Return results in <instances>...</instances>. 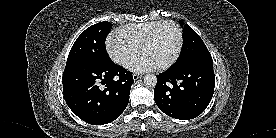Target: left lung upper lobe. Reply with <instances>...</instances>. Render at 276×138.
<instances>
[{"label":"left lung upper lobe","mask_w":276,"mask_h":138,"mask_svg":"<svg viewBox=\"0 0 276 138\" xmlns=\"http://www.w3.org/2000/svg\"><path fill=\"white\" fill-rule=\"evenodd\" d=\"M183 25V22H181ZM205 59H212L207 47L200 36L188 25H184V46L180 60L173 68L189 66Z\"/></svg>","instance_id":"obj_1"}]
</instances>
